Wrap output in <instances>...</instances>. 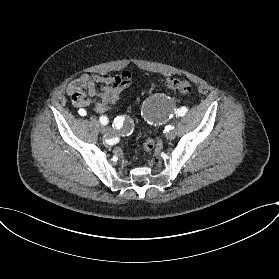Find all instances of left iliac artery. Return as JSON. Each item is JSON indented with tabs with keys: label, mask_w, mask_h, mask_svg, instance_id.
I'll return each mask as SVG.
<instances>
[{
	"label": "left iliac artery",
	"mask_w": 279,
	"mask_h": 279,
	"mask_svg": "<svg viewBox=\"0 0 279 279\" xmlns=\"http://www.w3.org/2000/svg\"><path fill=\"white\" fill-rule=\"evenodd\" d=\"M187 112V108L186 107H182V108H180V109H178L177 110V112H176V114L178 115V116H183V115H185V113ZM171 127V126H170ZM171 129V128H170ZM173 129V128H172Z\"/></svg>",
	"instance_id": "44dca946"
}]
</instances>
